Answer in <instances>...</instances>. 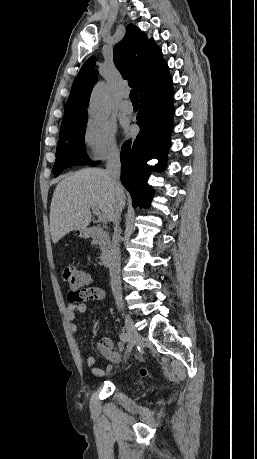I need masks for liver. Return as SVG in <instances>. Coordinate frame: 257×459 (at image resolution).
<instances>
[{
	"label": "liver",
	"mask_w": 257,
	"mask_h": 459,
	"mask_svg": "<svg viewBox=\"0 0 257 459\" xmlns=\"http://www.w3.org/2000/svg\"><path fill=\"white\" fill-rule=\"evenodd\" d=\"M125 198V196H124ZM115 195L106 170L85 168L58 183L50 206V233L56 244L73 230H85L91 222V208L111 221Z\"/></svg>",
	"instance_id": "1"
}]
</instances>
